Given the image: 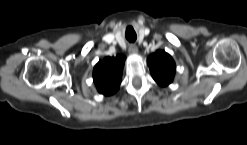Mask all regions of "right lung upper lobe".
<instances>
[{"label": "right lung upper lobe", "mask_w": 247, "mask_h": 145, "mask_svg": "<svg viewBox=\"0 0 247 145\" xmlns=\"http://www.w3.org/2000/svg\"><path fill=\"white\" fill-rule=\"evenodd\" d=\"M125 56L106 57L99 61L93 70L94 83L101 94L112 95L118 89L122 79Z\"/></svg>", "instance_id": "right-lung-upper-lobe-1"}]
</instances>
